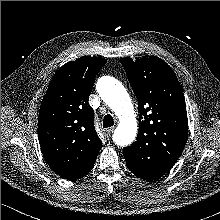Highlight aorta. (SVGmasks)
I'll return each instance as SVG.
<instances>
[{
  "label": "aorta",
  "mask_w": 220,
  "mask_h": 220,
  "mask_svg": "<svg viewBox=\"0 0 220 220\" xmlns=\"http://www.w3.org/2000/svg\"><path fill=\"white\" fill-rule=\"evenodd\" d=\"M97 91L119 119L113 141L119 146L130 145L136 137L137 120L128 92L121 82L110 76L98 80Z\"/></svg>",
  "instance_id": "aorta-1"
}]
</instances>
